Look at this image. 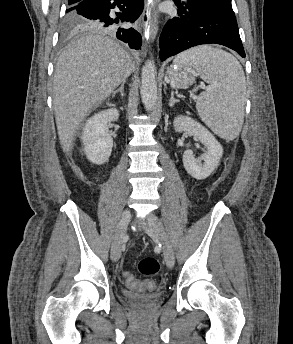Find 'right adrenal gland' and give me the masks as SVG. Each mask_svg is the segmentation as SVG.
I'll return each mask as SVG.
<instances>
[{
  "label": "right adrenal gland",
  "mask_w": 293,
  "mask_h": 344,
  "mask_svg": "<svg viewBox=\"0 0 293 344\" xmlns=\"http://www.w3.org/2000/svg\"><path fill=\"white\" fill-rule=\"evenodd\" d=\"M124 85H125V82H123V83L121 84V86H120L119 89H117L116 91H114V92L112 93V96L115 97V95H116L117 93L120 92L121 96L123 97V96H124Z\"/></svg>",
  "instance_id": "right-adrenal-gland-1"
}]
</instances>
